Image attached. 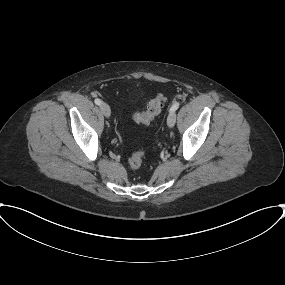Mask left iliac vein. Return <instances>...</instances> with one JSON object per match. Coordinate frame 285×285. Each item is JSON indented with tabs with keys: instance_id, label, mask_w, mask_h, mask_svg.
Segmentation results:
<instances>
[{
	"instance_id": "1",
	"label": "left iliac vein",
	"mask_w": 285,
	"mask_h": 285,
	"mask_svg": "<svg viewBox=\"0 0 285 285\" xmlns=\"http://www.w3.org/2000/svg\"><path fill=\"white\" fill-rule=\"evenodd\" d=\"M176 122V113L175 111H170L168 117H167V124L170 128L174 127Z\"/></svg>"
}]
</instances>
